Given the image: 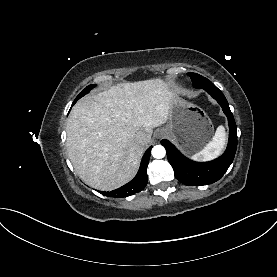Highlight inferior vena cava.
Listing matches in <instances>:
<instances>
[{"label": "inferior vena cava", "mask_w": 277, "mask_h": 277, "mask_svg": "<svg viewBox=\"0 0 277 277\" xmlns=\"http://www.w3.org/2000/svg\"><path fill=\"white\" fill-rule=\"evenodd\" d=\"M149 140V136L143 132V131H139L135 134V141L138 143V144H145L147 143Z\"/></svg>", "instance_id": "inferior-vena-cava-1"}]
</instances>
